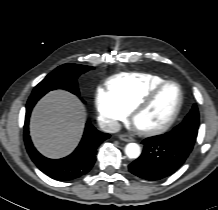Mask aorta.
Returning a JSON list of instances; mask_svg holds the SVG:
<instances>
[{
	"label": "aorta",
	"mask_w": 218,
	"mask_h": 210,
	"mask_svg": "<svg viewBox=\"0 0 218 210\" xmlns=\"http://www.w3.org/2000/svg\"><path fill=\"white\" fill-rule=\"evenodd\" d=\"M125 154L131 159H136L141 154L140 146L137 143H129L125 147Z\"/></svg>",
	"instance_id": "1"
}]
</instances>
